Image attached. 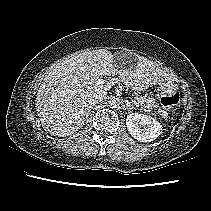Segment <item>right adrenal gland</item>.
I'll use <instances>...</instances> for the list:
<instances>
[{
	"label": "right adrenal gland",
	"mask_w": 211,
	"mask_h": 211,
	"mask_svg": "<svg viewBox=\"0 0 211 211\" xmlns=\"http://www.w3.org/2000/svg\"><path fill=\"white\" fill-rule=\"evenodd\" d=\"M94 106L90 105L87 107V114H86V118H88L89 114H90V111L91 109H93Z\"/></svg>",
	"instance_id": "right-adrenal-gland-1"
}]
</instances>
